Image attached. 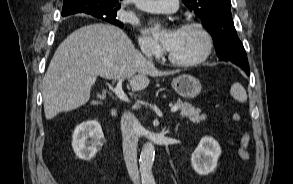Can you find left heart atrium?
Here are the masks:
<instances>
[{
  "instance_id": "1",
  "label": "left heart atrium",
  "mask_w": 293,
  "mask_h": 184,
  "mask_svg": "<svg viewBox=\"0 0 293 184\" xmlns=\"http://www.w3.org/2000/svg\"><path fill=\"white\" fill-rule=\"evenodd\" d=\"M151 31L153 35L163 44V46L167 50H171L173 46L175 45L179 30L176 29H170V30H164L159 24H155L152 26Z\"/></svg>"
}]
</instances>
